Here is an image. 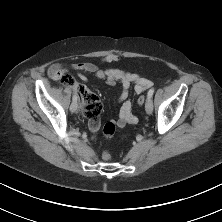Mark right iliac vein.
I'll return each mask as SVG.
<instances>
[{"mask_svg": "<svg viewBox=\"0 0 222 222\" xmlns=\"http://www.w3.org/2000/svg\"><path fill=\"white\" fill-rule=\"evenodd\" d=\"M70 110H71V112H77L78 105L75 101H73L72 104L70 105Z\"/></svg>", "mask_w": 222, "mask_h": 222, "instance_id": "63e3f726", "label": "right iliac vein"}]
</instances>
